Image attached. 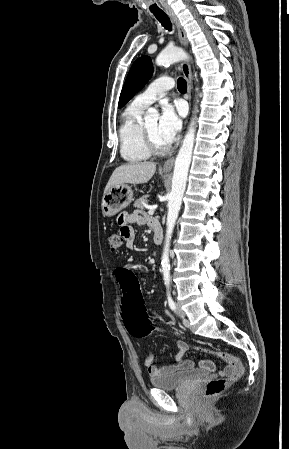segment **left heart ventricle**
<instances>
[{
    "mask_svg": "<svg viewBox=\"0 0 289 449\" xmlns=\"http://www.w3.org/2000/svg\"><path fill=\"white\" fill-rule=\"evenodd\" d=\"M146 128L148 129L152 139L155 141V143L160 147H165L167 144L162 140V138L159 135L158 132V120L153 119L145 124Z\"/></svg>",
    "mask_w": 289,
    "mask_h": 449,
    "instance_id": "left-heart-ventricle-1",
    "label": "left heart ventricle"
}]
</instances>
